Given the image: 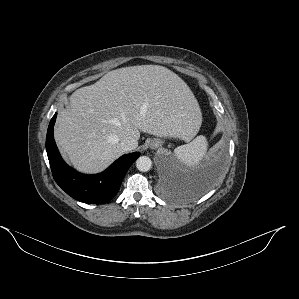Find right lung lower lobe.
<instances>
[{"label":"right lung lower lobe","instance_id":"98d812e1","mask_svg":"<svg viewBox=\"0 0 299 299\" xmlns=\"http://www.w3.org/2000/svg\"><path fill=\"white\" fill-rule=\"evenodd\" d=\"M56 116L57 113L50 121L46 137V151L54 180L68 195L80 202L104 204L110 201L117 194L127 170L140 153L123 155L100 174H80L66 165L59 154L53 135Z\"/></svg>","mask_w":299,"mask_h":299}]
</instances>
